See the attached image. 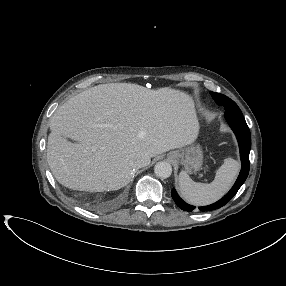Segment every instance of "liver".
Returning <instances> with one entry per match:
<instances>
[{"label":"liver","instance_id":"6515ba94","mask_svg":"<svg viewBox=\"0 0 286 286\" xmlns=\"http://www.w3.org/2000/svg\"><path fill=\"white\" fill-rule=\"evenodd\" d=\"M49 127L52 174L63 186L86 192L126 186L137 164L192 144L199 132L190 95L132 83L101 84L77 94L55 111Z\"/></svg>","mask_w":286,"mask_h":286}]
</instances>
